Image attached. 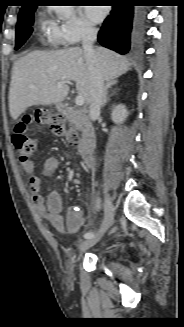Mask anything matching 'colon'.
I'll return each instance as SVG.
<instances>
[{"mask_svg":"<svg viewBox=\"0 0 184 327\" xmlns=\"http://www.w3.org/2000/svg\"><path fill=\"white\" fill-rule=\"evenodd\" d=\"M31 123L48 126L55 136L64 138L70 144H76L78 142L76 132L67 126L64 114L42 109L37 110L32 115L26 116L16 125L12 136L14 150L22 163L28 162L39 149L37 140L28 133V126Z\"/></svg>","mask_w":184,"mask_h":327,"instance_id":"1","label":"colon"}]
</instances>
